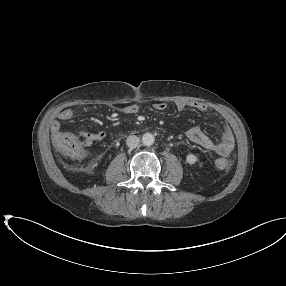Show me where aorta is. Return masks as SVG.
I'll list each match as a JSON object with an SVG mask.
<instances>
[{
  "instance_id": "aorta-1",
  "label": "aorta",
  "mask_w": 286,
  "mask_h": 286,
  "mask_svg": "<svg viewBox=\"0 0 286 286\" xmlns=\"http://www.w3.org/2000/svg\"><path fill=\"white\" fill-rule=\"evenodd\" d=\"M155 142V137L152 133H145L143 134L142 136V143L145 145V146H151L153 145Z\"/></svg>"
}]
</instances>
